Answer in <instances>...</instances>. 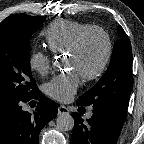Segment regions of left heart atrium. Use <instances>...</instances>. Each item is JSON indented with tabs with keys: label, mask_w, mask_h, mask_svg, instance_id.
<instances>
[{
	"label": "left heart atrium",
	"mask_w": 144,
	"mask_h": 144,
	"mask_svg": "<svg viewBox=\"0 0 144 144\" xmlns=\"http://www.w3.org/2000/svg\"><path fill=\"white\" fill-rule=\"evenodd\" d=\"M80 84V76L76 70L60 74L51 79L46 85V93L61 102L69 101L76 93Z\"/></svg>",
	"instance_id": "left-heart-atrium-1"
}]
</instances>
